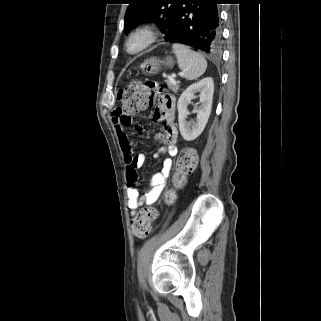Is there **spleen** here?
Here are the masks:
<instances>
[{"mask_svg":"<svg viewBox=\"0 0 321 321\" xmlns=\"http://www.w3.org/2000/svg\"><path fill=\"white\" fill-rule=\"evenodd\" d=\"M177 57L181 75L187 80H195L204 74L207 68L206 59L188 46L175 43L172 46Z\"/></svg>","mask_w":321,"mask_h":321,"instance_id":"1","label":"spleen"}]
</instances>
